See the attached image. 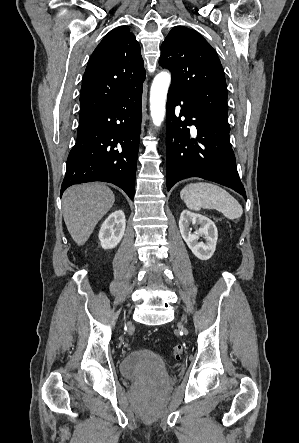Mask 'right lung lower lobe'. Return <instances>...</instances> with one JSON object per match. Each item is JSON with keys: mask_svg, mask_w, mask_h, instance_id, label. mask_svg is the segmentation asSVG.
<instances>
[{"mask_svg": "<svg viewBox=\"0 0 299 443\" xmlns=\"http://www.w3.org/2000/svg\"><path fill=\"white\" fill-rule=\"evenodd\" d=\"M142 85L79 122L63 191L71 185L103 181L133 199L142 119Z\"/></svg>", "mask_w": 299, "mask_h": 443, "instance_id": "right-lung-lower-lobe-1", "label": "right lung lower lobe"}]
</instances>
